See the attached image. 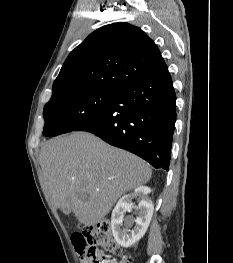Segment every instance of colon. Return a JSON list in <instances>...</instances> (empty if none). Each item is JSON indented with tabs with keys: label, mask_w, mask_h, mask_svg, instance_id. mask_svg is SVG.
I'll return each instance as SVG.
<instances>
[{
	"label": "colon",
	"mask_w": 233,
	"mask_h": 263,
	"mask_svg": "<svg viewBox=\"0 0 233 263\" xmlns=\"http://www.w3.org/2000/svg\"><path fill=\"white\" fill-rule=\"evenodd\" d=\"M71 239L83 263H107L110 255H122L120 247L111 234L108 221H101L83 232H75ZM121 263H131V260L124 257Z\"/></svg>",
	"instance_id": "1"
}]
</instances>
